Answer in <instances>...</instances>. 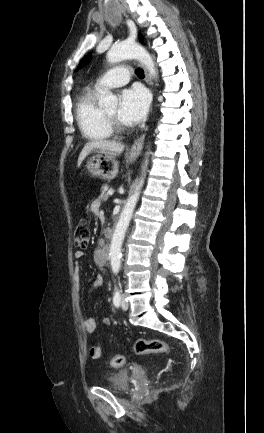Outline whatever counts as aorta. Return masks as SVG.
Masks as SVG:
<instances>
[{
	"mask_svg": "<svg viewBox=\"0 0 264 433\" xmlns=\"http://www.w3.org/2000/svg\"><path fill=\"white\" fill-rule=\"evenodd\" d=\"M124 59L139 60L147 68L151 76L154 78L157 77L155 63L150 54L141 45L137 43L122 42L112 46L107 53V60L109 63H117ZM116 102L117 98L112 93H107L103 99V104L105 106L115 105ZM147 155H149V153H147ZM147 164L148 159L146 158L143 167L144 174H142L134 194L127 199L111 240L109 256L111 269L114 274H118L120 270L122 243L139 199L141 188L144 184Z\"/></svg>",
	"mask_w": 264,
	"mask_h": 433,
	"instance_id": "1",
	"label": "aorta"
}]
</instances>
